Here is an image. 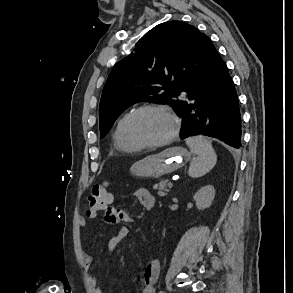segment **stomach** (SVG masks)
Masks as SVG:
<instances>
[{"instance_id": "0dacf381", "label": "stomach", "mask_w": 293, "mask_h": 293, "mask_svg": "<svg viewBox=\"0 0 293 293\" xmlns=\"http://www.w3.org/2000/svg\"><path fill=\"white\" fill-rule=\"evenodd\" d=\"M189 159L190 153L185 148L171 147L135 162L130 172L141 178H160L183 167Z\"/></svg>"}]
</instances>
